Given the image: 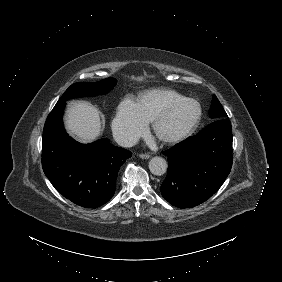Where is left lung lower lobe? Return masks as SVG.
Wrapping results in <instances>:
<instances>
[{"label": "left lung lower lobe", "instance_id": "1", "mask_svg": "<svg viewBox=\"0 0 282 282\" xmlns=\"http://www.w3.org/2000/svg\"><path fill=\"white\" fill-rule=\"evenodd\" d=\"M168 157L162 196L179 208L195 207L223 184L232 166V129L227 118L215 119L196 136L163 152Z\"/></svg>", "mask_w": 282, "mask_h": 282}]
</instances>
